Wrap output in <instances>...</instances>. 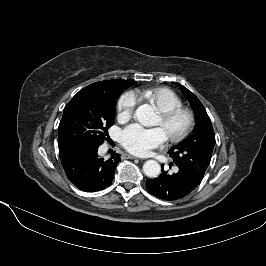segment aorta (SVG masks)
Here are the masks:
<instances>
[{
    "label": "aorta",
    "mask_w": 266,
    "mask_h": 266,
    "mask_svg": "<svg viewBox=\"0 0 266 266\" xmlns=\"http://www.w3.org/2000/svg\"><path fill=\"white\" fill-rule=\"evenodd\" d=\"M154 108L149 104L139 106L135 111V117L138 122L144 126L154 124L155 120ZM143 172L146 176L153 178L157 177L161 172L160 164L155 160H148L143 165Z\"/></svg>",
    "instance_id": "obj_1"
}]
</instances>
